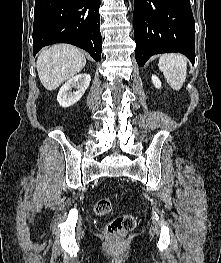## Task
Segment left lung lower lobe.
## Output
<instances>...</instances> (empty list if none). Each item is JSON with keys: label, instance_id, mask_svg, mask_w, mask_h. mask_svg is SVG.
I'll return each mask as SVG.
<instances>
[{"label": "left lung lower lobe", "instance_id": "1", "mask_svg": "<svg viewBox=\"0 0 221 263\" xmlns=\"http://www.w3.org/2000/svg\"><path fill=\"white\" fill-rule=\"evenodd\" d=\"M135 58L180 52L194 64L195 22L189 0H134Z\"/></svg>", "mask_w": 221, "mask_h": 263}]
</instances>
